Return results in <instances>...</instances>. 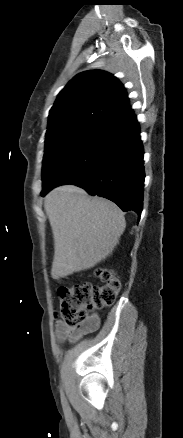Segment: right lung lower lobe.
Listing matches in <instances>:
<instances>
[{
  "label": "right lung lower lobe",
  "mask_w": 183,
  "mask_h": 438,
  "mask_svg": "<svg viewBox=\"0 0 183 438\" xmlns=\"http://www.w3.org/2000/svg\"><path fill=\"white\" fill-rule=\"evenodd\" d=\"M140 128L132 110L97 128L72 160L43 187L74 184L115 202L123 211L143 208L144 166Z\"/></svg>",
  "instance_id": "98d812e1"
}]
</instances>
